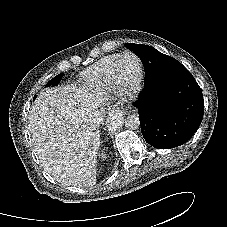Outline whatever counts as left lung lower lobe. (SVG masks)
Segmentation results:
<instances>
[{"mask_svg":"<svg viewBox=\"0 0 227 227\" xmlns=\"http://www.w3.org/2000/svg\"><path fill=\"white\" fill-rule=\"evenodd\" d=\"M141 54L143 64L150 65L157 59L149 47ZM133 105L138 109L144 139L159 149L187 142L199 128L204 113L201 89L184 66L145 80Z\"/></svg>","mask_w":227,"mask_h":227,"instance_id":"1","label":"left lung lower lobe"}]
</instances>
